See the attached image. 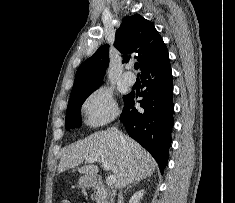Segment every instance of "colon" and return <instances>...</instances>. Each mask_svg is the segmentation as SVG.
<instances>
[{"label": "colon", "mask_w": 235, "mask_h": 203, "mask_svg": "<svg viewBox=\"0 0 235 203\" xmlns=\"http://www.w3.org/2000/svg\"><path fill=\"white\" fill-rule=\"evenodd\" d=\"M61 203H70V201L69 200H67V199H64V200H62V202Z\"/></svg>", "instance_id": "colon-1"}]
</instances>
